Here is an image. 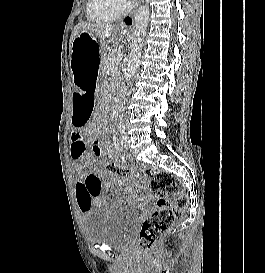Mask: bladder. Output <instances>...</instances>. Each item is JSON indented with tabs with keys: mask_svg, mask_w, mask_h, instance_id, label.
Masks as SVG:
<instances>
[{
	"mask_svg": "<svg viewBox=\"0 0 265 273\" xmlns=\"http://www.w3.org/2000/svg\"><path fill=\"white\" fill-rule=\"evenodd\" d=\"M138 209L125 203L92 206L83 212V231L87 240L111 248H125L133 235Z\"/></svg>",
	"mask_w": 265,
	"mask_h": 273,
	"instance_id": "bladder-1",
	"label": "bladder"
}]
</instances>
